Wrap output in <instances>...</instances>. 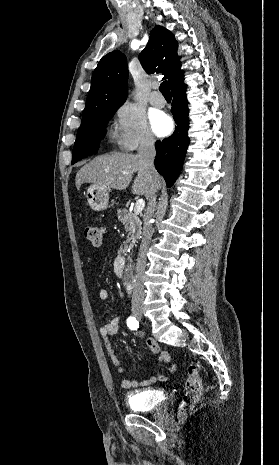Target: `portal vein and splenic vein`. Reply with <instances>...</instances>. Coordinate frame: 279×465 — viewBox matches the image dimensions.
Listing matches in <instances>:
<instances>
[{
    "label": "portal vein and splenic vein",
    "mask_w": 279,
    "mask_h": 465,
    "mask_svg": "<svg viewBox=\"0 0 279 465\" xmlns=\"http://www.w3.org/2000/svg\"><path fill=\"white\" fill-rule=\"evenodd\" d=\"M145 206V201L143 199H139L136 201L135 207H134V214L139 215Z\"/></svg>",
    "instance_id": "18ae733b"
}]
</instances>
